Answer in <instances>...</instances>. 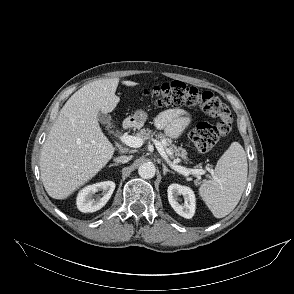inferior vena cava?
Wrapping results in <instances>:
<instances>
[{"label":"inferior vena cava","mask_w":294,"mask_h":294,"mask_svg":"<svg viewBox=\"0 0 294 294\" xmlns=\"http://www.w3.org/2000/svg\"><path fill=\"white\" fill-rule=\"evenodd\" d=\"M131 158H132L131 156L122 155V156L115 158V161L120 162V163H127L128 161L131 160Z\"/></svg>","instance_id":"602c4592"}]
</instances>
